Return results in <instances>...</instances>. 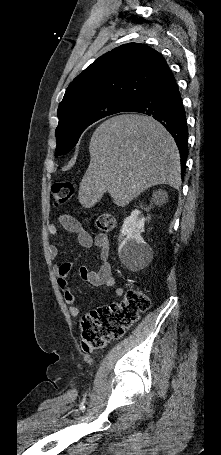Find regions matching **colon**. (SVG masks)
<instances>
[{"mask_svg": "<svg viewBox=\"0 0 221 455\" xmlns=\"http://www.w3.org/2000/svg\"><path fill=\"white\" fill-rule=\"evenodd\" d=\"M72 181H61L52 186L51 195L55 207H60L71 200L76 192ZM95 227L102 232H111L117 227L113 214L102 213L94 219ZM150 299L138 287H130L119 303L98 308L82 319V347L85 351L102 348L110 340L123 336L140 317L148 310Z\"/></svg>", "mask_w": 221, "mask_h": 455, "instance_id": "5ec220e1", "label": "colon"}]
</instances>
